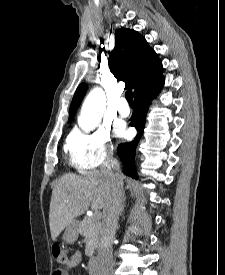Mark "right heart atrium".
<instances>
[{
    "label": "right heart atrium",
    "instance_id": "right-heart-atrium-1",
    "mask_svg": "<svg viewBox=\"0 0 225 275\" xmlns=\"http://www.w3.org/2000/svg\"><path fill=\"white\" fill-rule=\"evenodd\" d=\"M112 149V137L105 127L92 131L74 130L66 144L71 162L80 171L102 166L111 156Z\"/></svg>",
    "mask_w": 225,
    "mask_h": 275
}]
</instances>
